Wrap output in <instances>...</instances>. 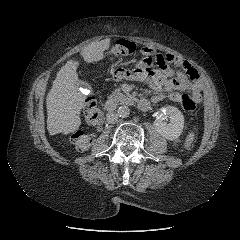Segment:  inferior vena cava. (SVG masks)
Listing matches in <instances>:
<instances>
[{
    "instance_id": "1",
    "label": "inferior vena cava",
    "mask_w": 240,
    "mask_h": 240,
    "mask_svg": "<svg viewBox=\"0 0 240 240\" xmlns=\"http://www.w3.org/2000/svg\"><path fill=\"white\" fill-rule=\"evenodd\" d=\"M106 120L109 124H115L118 121V114L115 112H109L106 115Z\"/></svg>"
}]
</instances>
